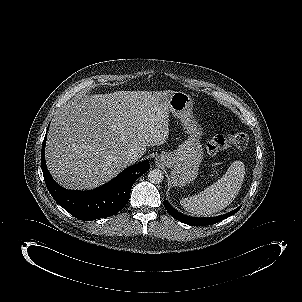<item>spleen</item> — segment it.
<instances>
[{"label":"spleen","instance_id":"spleen-1","mask_svg":"<svg viewBox=\"0 0 302 302\" xmlns=\"http://www.w3.org/2000/svg\"><path fill=\"white\" fill-rule=\"evenodd\" d=\"M244 173V164L241 161H235L219 180L198 195L183 198L180 204L192 215L212 216L226 208L238 195Z\"/></svg>","mask_w":302,"mask_h":302}]
</instances>
